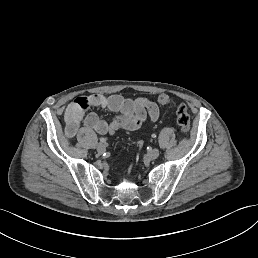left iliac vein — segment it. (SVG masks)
Here are the masks:
<instances>
[{
	"label": "left iliac vein",
	"instance_id": "left-iliac-vein-1",
	"mask_svg": "<svg viewBox=\"0 0 258 258\" xmlns=\"http://www.w3.org/2000/svg\"><path fill=\"white\" fill-rule=\"evenodd\" d=\"M159 148H154L152 151H151V153H149V154H146V159H149V160H154L155 158H157L158 157V155H159Z\"/></svg>",
	"mask_w": 258,
	"mask_h": 258
}]
</instances>
